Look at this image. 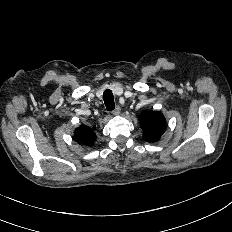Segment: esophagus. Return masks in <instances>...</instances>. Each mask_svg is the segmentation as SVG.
<instances>
[{
	"label": "esophagus",
	"instance_id": "34e87169",
	"mask_svg": "<svg viewBox=\"0 0 232 232\" xmlns=\"http://www.w3.org/2000/svg\"><path fill=\"white\" fill-rule=\"evenodd\" d=\"M120 111H121V108H120L119 105H117V106L113 109L112 114H113V115H119V114H120Z\"/></svg>",
	"mask_w": 232,
	"mask_h": 232
}]
</instances>
